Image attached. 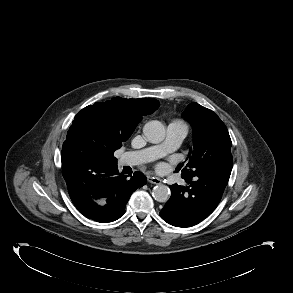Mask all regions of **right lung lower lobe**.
Returning <instances> with one entry per match:
<instances>
[{"label":"right lung lower lobe","mask_w":293,"mask_h":293,"mask_svg":"<svg viewBox=\"0 0 293 293\" xmlns=\"http://www.w3.org/2000/svg\"><path fill=\"white\" fill-rule=\"evenodd\" d=\"M146 182L140 172L129 179L119 174L116 164L101 162L92 163L66 181L76 208L87 218L101 223L119 219L131 194Z\"/></svg>","instance_id":"right-lung-lower-lobe-1"}]
</instances>
